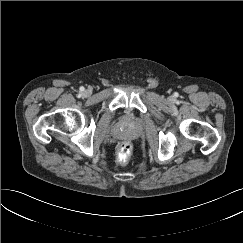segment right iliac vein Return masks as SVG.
<instances>
[{"mask_svg": "<svg viewBox=\"0 0 243 243\" xmlns=\"http://www.w3.org/2000/svg\"><path fill=\"white\" fill-rule=\"evenodd\" d=\"M83 94H84L85 96H88V95L90 94V91L86 90V91L83 92Z\"/></svg>", "mask_w": 243, "mask_h": 243, "instance_id": "obj_1", "label": "right iliac vein"}]
</instances>
